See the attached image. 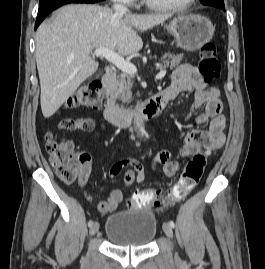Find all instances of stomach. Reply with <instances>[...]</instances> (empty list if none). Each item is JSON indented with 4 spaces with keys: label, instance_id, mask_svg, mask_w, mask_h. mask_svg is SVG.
Here are the masks:
<instances>
[{
    "label": "stomach",
    "instance_id": "0dacf381",
    "mask_svg": "<svg viewBox=\"0 0 265 269\" xmlns=\"http://www.w3.org/2000/svg\"><path fill=\"white\" fill-rule=\"evenodd\" d=\"M174 36L177 45L187 51H197L209 42L215 28L212 22L198 14L174 17L165 25Z\"/></svg>",
    "mask_w": 265,
    "mask_h": 269
}]
</instances>
